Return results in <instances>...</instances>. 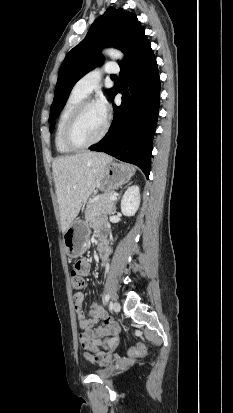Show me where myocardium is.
<instances>
[{"label":"myocardium","instance_id":"myocardium-1","mask_svg":"<svg viewBox=\"0 0 233 413\" xmlns=\"http://www.w3.org/2000/svg\"><path fill=\"white\" fill-rule=\"evenodd\" d=\"M96 105V102L94 100L90 99H85L82 102H80L75 109L72 111L70 116L68 117L64 128L62 132V139L64 144L70 148L71 150H81L85 148H89L97 143H99L107 134L109 127H110V122L109 119L106 117L105 125L100 133V135L95 138L94 140L88 142V143H77L74 138H73V129L75 127V124L82 114V112L89 106Z\"/></svg>","mask_w":233,"mask_h":413}]
</instances>
